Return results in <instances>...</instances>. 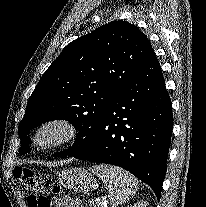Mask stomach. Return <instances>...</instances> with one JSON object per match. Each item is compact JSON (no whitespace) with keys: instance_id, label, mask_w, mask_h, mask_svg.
Segmentation results:
<instances>
[{"instance_id":"obj_1","label":"stomach","mask_w":206,"mask_h":207,"mask_svg":"<svg viewBox=\"0 0 206 207\" xmlns=\"http://www.w3.org/2000/svg\"><path fill=\"white\" fill-rule=\"evenodd\" d=\"M56 176L59 184L75 192L88 193L98 188L94 176L82 168H65L56 172Z\"/></svg>"}]
</instances>
